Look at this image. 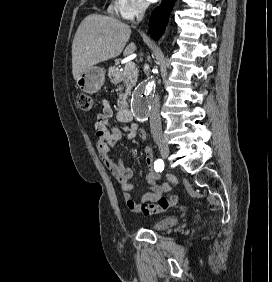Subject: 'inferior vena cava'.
<instances>
[{
	"mask_svg": "<svg viewBox=\"0 0 272 282\" xmlns=\"http://www.w3.org/2000/svg\"><path fill=\"white\" fill-rule=\"evenodd\" d=\"M147 3H142L138 9L137 14V23H139L145 14L147 9ZM160 103L159 96L155 95V98L152 101L151 109H150V128L151 133L155 141H159L163 139L162 126H161V118H160Z\"/></svg>",
	"mask_w": 272,
	"mask_h": 282,
	"instance_id": "602c4592",
	"label": "inferior vena cava"
}]
</instances>
